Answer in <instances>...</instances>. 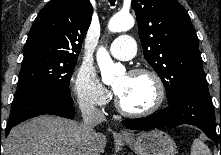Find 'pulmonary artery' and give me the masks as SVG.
<instances>
[{"mask_svg": "<svg viewBox=\"0 0 221 155\" xmlns=\"http://www.w3.org/2000/svg\"><path fill=\"white\" fill-rule=\"evenodd\" d=\"M135 50V41L129 35L117 37L110 46L112 56L120 60L131 59L135 54Z\"/></svg>", "mask_w": 221, "mask_h": 155, "instance_id": "e3ab8cb5", "label": "pulmonary artery"}]
</instances>
